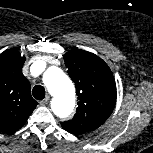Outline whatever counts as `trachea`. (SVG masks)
<instances>
[{
  "mask_svg": "<svg viewBox=\"0 0 153 153\" xmlns=\"http://www.w3.org/2000/svg\"><path fill=\"white\" fill-rule=\"evenodd\" d=\"M32 94L35 99L42 100L45 97V88L41 85H36L33 87Z\"/></svg>",
  "mask_w": 153,
  "mask_h": 153,
  "instance_id": "3493384b",
  "label": "trachea"
}]
</instances>
